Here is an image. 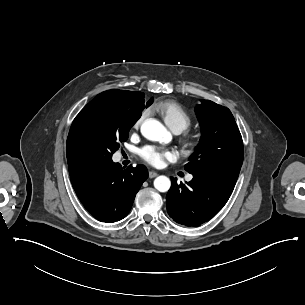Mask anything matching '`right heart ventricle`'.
Instances as JSON below:
<instances>
[{
    "mask_svg": "<svg viewBox=\"0 0 305 305\" xmlns=\"http://www.w3.org/2000/svg\"><path fill=\"white\" fill-rule=\"evenodd\" d=\"M153 109L173 131L183 132L193 125L192 117L176 102L160 101L153 105Z\"/></svg>",
    "mask_w": 305,
    "mask_h": 305,
    "instance_id": "e07e8e85",
    "label": "right heart ventricle"
}]
</instances>
